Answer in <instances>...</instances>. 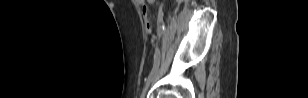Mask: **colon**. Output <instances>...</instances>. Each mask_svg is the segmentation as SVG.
<instances>
[{
	"label": "colon",
	"instance_id": "colon-1",
	"mask_svg": "<svg viewBox=\"0 0 308 98\" xmlns=\"http://www.w3.org/2000/svg\"><path fill=\"white\" fill-rule=\"evenodd\" d=\"M141 11H142V16H143L144 23H145L146 32L149 35H152L153 29H152L151 22H150V16H149L148 8L145 5H142Z\"/></svg>",
	"mask_w": 308,
	"mask_h": 98
}]
</instances>
